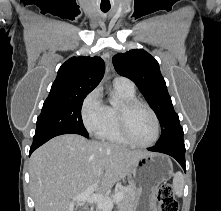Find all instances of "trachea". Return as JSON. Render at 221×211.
<instances>
[{"label": "trachea", "instance_id": "3493384b", "mask_svg": "<svg viewBox=\"0 0 221 211\" xmlns=\"http://www.w3.org/2000/svg\"><path fill=\"white\" fill-rule=\"evenodd\" d=\"M110 8H101L102 12L106 13L109 11Z\"/></svg>", "mask_w": 221, "mask_h": 211}]
</instances>
